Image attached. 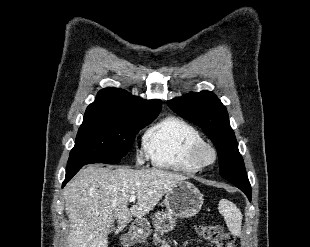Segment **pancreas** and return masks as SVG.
I'll use <instances>...</instances> for the list:
<instances>
[{
	"label": "pancreas",
	"mask_w": 310,
	"mask_h": 247,
	"mask_svg": "<svg viewBox=\"0 0 310 247\" xmlns=\"http://www.w3.org/2000/svg\"><path fill=\"white\" fill-rule=\"evenodd\" d=\"M154 242L155 243H161L162 247H170L168 242L165 239L162 240L158 234L154 235Z\"/></svg>",
	"instance_id": "cf45deb5"
}]
</instances>
